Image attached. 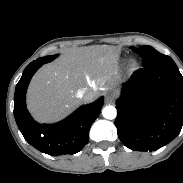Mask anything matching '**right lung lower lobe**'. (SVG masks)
I'll list each match as a JSON object with an SVG mask.
<instances>
[{
	"instance_id": "98d812e1",
	"label": "right lung lower lobe",
	"mask_w": 183,
	"mask_h": 183,
	"mask_svg": "<svg viewBox=\"0 0 183 183\" xmlns=\"http://www.w3.org/2000/svg\"><path fill=\"white\" fill-rule=\"evenodd\" d=\"M44 63L45 60L31 62L16 85V123L25 140L39 151L52 156L75 154L87 144L90 127L100 114L104 99L101 97L91 104L81 106L61 122L52 125L37 123L26 108L25 97L32 76Z\"/></svg>"
}]
</instances>
